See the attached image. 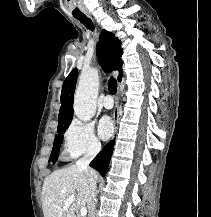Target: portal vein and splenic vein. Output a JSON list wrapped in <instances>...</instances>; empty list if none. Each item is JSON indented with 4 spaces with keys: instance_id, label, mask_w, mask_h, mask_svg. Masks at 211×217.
I'll return each mask as SVG.
<instances>
[{
    "instance_id": "1",
    "label": "portal vein and splenic vein",
    "mask_w": 211,
    "mask_h": 217,
    "mask_svg": "<svg viewBox=\"0 0 211 217\" xmlns=\"http://www.w3.org/2000/svg\"><path fill=\"white\" fill-rule=\"evenodd\" d=\"M75 199H76L75 196L68 197L67 200L65 201V204H64L63 208L64 209H68V207L70 206V204L72 202H74ZM80 213H81V216H83V217L86 216V214H87L86 207H82L81 210H80Z\"/></svg>"
}]
</instances>
